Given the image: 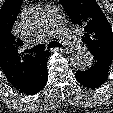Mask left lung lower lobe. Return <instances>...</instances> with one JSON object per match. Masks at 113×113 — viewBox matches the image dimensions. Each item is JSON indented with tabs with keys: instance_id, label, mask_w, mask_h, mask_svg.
<instances>
[{
	"instance_id": "obj_1",
	"label": "left lung lower lobe",
	"mask_w": 113,
	"mask_h": 113,
	"mask_svg": "<svg viewBox=\"0 0 113 113\" xmlns=\"http://www.w3.org/2000/svg\"><path fill=\"white\" fill-rule=\"evenodd\" d=\"M112 61L104 56L93 55L92 66L86 71H77L75 73L76 80L88 88L100 87L108 78Z\"/></svg>"
}]
</instances>
